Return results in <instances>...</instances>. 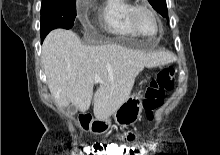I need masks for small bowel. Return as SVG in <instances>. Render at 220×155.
Returning <instances> with one entry per match:
<instances>
[{
    "instance_id": "small-bowel-1",
    "label": "small bowel",
    "mask_w": 220,
    "mask_h": 155,
    "mask_svg": "<svg viewBox=\"0 0 220 155\" xmlns=\"http://www.w3.org/2000/svg\"><path fill=\"white\" fill-rule=\"evenodd\" d=\"M138 131L137 130H120L119 132V139L122 141H135L136 137L132 135H137ZM98 144L100 143L99 141L97 142ZM106 146H121L117 144H108ZM105 146V147H106ZM139 152V151H138Z\"/></svg>"
}]
</instances>
